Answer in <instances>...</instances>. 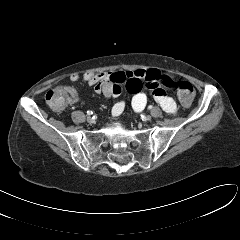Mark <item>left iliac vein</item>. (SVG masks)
Here are the masks:
<instances>
[{"label": "left iliac vein", "mask_w": 240, "mask_h": 240, "mask_svg": "<svg viewBox=\"0 0 240 240\" xmlns=\"http://www.w3.org/2000/svg\"><path fill=\"white\" fill-rule=\"evenodd\" d=\"M144 120H145V121H150V120H151V116H150V115H146V116L144 117Z\"/></svg>", "instance_id": "4c4485c4"}]
</instances>
